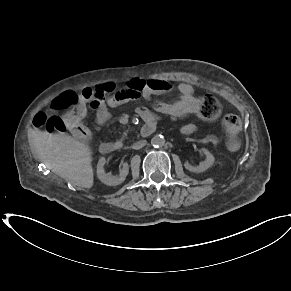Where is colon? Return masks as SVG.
<instances>
[{
    "instance_id": "5ec220e1",
    "label": "colon",
    "mask_w": 291,
    "mask_h": 291,
    "mask_svg": "<svg viewBox=\"0 0 291 291\" xmlns=\"http://www.w3.org/2000/svg\"><path fill=\"white\" fill-rule=\"evenodd\" d=\"M114 84L107 82L97 85L96 89L86 88L81 92L64 91L54 97L47 109L36 114L34 126L44 128L48 133L70 131L76 140L85 142L90 131L84 124L87 105L114 95ZM178 107H190L192 114H199L202 119L211 120L219 113V104L212 96L203 98H178ZM222 124L231 147H236L237 136L241 130L239 118L227 114Z\"/></svg>"
}]
</instances>
